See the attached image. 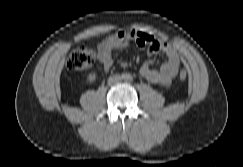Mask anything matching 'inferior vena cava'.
Returning <instances> with one entry per match:
<instances>
[{
  "label": "inferior vena cava",
  "mask_w": 243,
  "mask_h": 167,
  "mask_svg": "<svg viewBox=\"0 0 243 167\" xmlns=\"http://www.w3.org/2000/svg\"><path fill=\"white\" fill-rule=\"evenodd\" d=\"M120 80H121L120 77H118V76H114V77H110V78L108 79V83H109V84L118 83Z\"/></svg>",
  "instance_id": "1"
}]
</instances>
